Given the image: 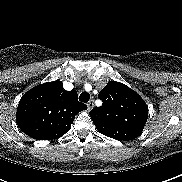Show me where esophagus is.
<instances>
[{
  "mask_svg": "<svg viewBox=\"0 0 182 182\" xmlns=\"http://www.w3.org/2000/svg\"><path fill=\"white\" fill-rule=\"evenodd\" d=\"M87 107H88V110H92L93 107H94V100H90L88 103H87Z\"/></svg>",
  "mask_w": 182,
  "mask_h": 182,
  "instance_id": "esophagus-1",
  "label": "esophagus"
}]
</instances>
